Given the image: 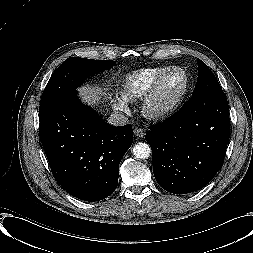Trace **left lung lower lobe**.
<instances>
[{
	"mask_svg": "<svg viewBox=\"0 0 253 253\" xmlns=\"http://www.w3.org/2000/svg\"><path fill=\"white\" fill-rule=\"evenodd\" d=\"M229 136L224 93L204 104L190 99L172 117L150 127L145 136L156 181L174 194L200 190L222 167Z\"/></svg>",
	"mask_w": 253,
	"mask_h": 253,
	"instance_id": "obj_1",
	"label": "left lung lower lobe"
}]
</instances>
